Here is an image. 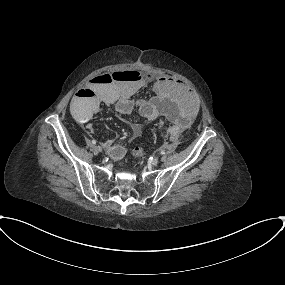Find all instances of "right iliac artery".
<instances>
[{"label":"right iliac artery","instance_id":"82829eb1","mask_svg":"<svg viewBox=\"0 0 285 285\" xmlns=\"http://www.w3.org/2000/svg\"><path fill=\"white\" fill-rule=\"evenodd\" d=\"M91 142H92V144H94V145L97 143L95 139H93Z\"/></svg>","mask_w":285,"mask_h":285}]
</instances>
